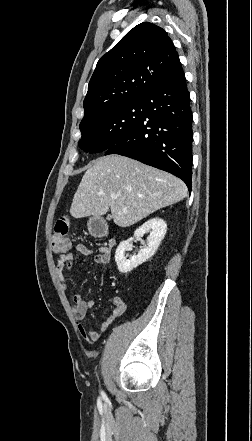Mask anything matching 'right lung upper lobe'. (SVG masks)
Returning a JSON list of instances; mask_svg holds the SVG:
<instances>
[{"label":"right lung upper lobe","instance_id":"obj_1","mask_svg":"<svg viewBox=\"0 0 252 441\" xmlns=\"http://www.w3.org/2000/svg\"><path fill=\"white\" fill-rule=\"evenodd\" d=\"M179 64L164 29L149 22L135 26L98 61L83 102L82 121L141 99Z\"/></svg>","mask_w":252,"mask_h":441}]
</instances>
